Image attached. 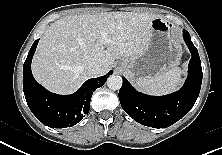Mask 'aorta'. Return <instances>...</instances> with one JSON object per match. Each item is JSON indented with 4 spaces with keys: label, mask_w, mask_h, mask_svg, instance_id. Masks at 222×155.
Instances as JSON below:
<instances>
[{
    "label": "aorta",
    "mask_w": 222,
    "mask_h": 155,
    "mask_svg": "<svg viewBox=\"0 0 222 155\" xmlns=\"http://www.w3.org/2000/svg\"><path fill=\"white\" fill-rule=\"evenodd\" d=\"M122 78L118 75H112L107 79V86L111 90H119L122 87Z\"/></svg>",
    "instance_id": "obj_1"
}]
</instances>
